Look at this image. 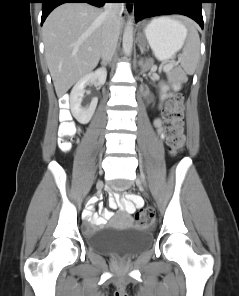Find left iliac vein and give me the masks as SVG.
<instances>
[{"label":"left iliac vein","mask_w":239,"mask_h":296,"mask_svg":"<svg viewBox=\"0 0 239 296\" xmlns=\"http://www.w3.org/2000/svg\"><path fill=\"white\" fill-rule=\"evenodd\" d=\"M137 183L140 184L144 189H146V182L143 176L137 178Z\"/></svg>","instance_id":"obj_1"}]
</instances>
